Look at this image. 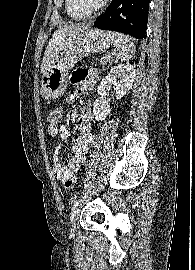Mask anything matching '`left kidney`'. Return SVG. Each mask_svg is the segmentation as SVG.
I'll return each instance as SVG.
<instances>
[{
    "label": "left kidney",
    "mask_w": 195,
    "mask_h": 270,
    "mask_svg": "<svg viewBox=\"0 0 195 270\" xmlns=\"http://www.w3.org/2000/svg\"><path fill=\"white\" fill-rule=\"evenodd\" d=\"M135 78V69L129 64H121L113 67L97 88L99 97L93 104V113L97 121L104 120L111 111L110 105L105 99L108 85H115L116 98L121 99L131 88Z\"/></svg>",
    "instance_id": "5707ae66"
}]
</instances>
